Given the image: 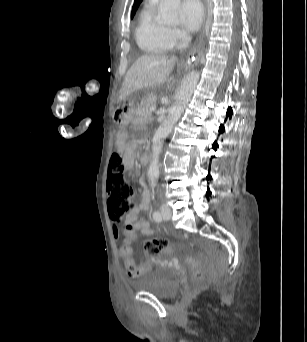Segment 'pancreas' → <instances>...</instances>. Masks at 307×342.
Returning a JSON list of instances; mask_svg holds the SVG:
<instances>
[{"mask_svg":"<svg viewBox=\"0 0 307 342\" xmlns=\"http://www.w3.org/2000/svg\"><path fill=\"white\" fill-rule=\"evenodd\" d=\"M155 98L153 96H150V98H144V100H141L138 108H136V112H138V117L140 119H147L148 114H150L149 110L150 108L155 107Z\"/></svg>","mask_w":307,"mask_h":342,"instance_id":"cf45deb5","label":"pancreas"}]
</instances>
